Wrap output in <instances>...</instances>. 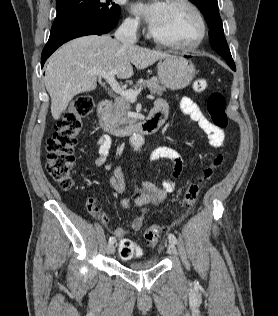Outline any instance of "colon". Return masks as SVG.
<instances>
[{
  "instance_id": "colon-1",
  "label": "colon",
  "mask_w": 278,
  "mask_h": 316,
  "mask_svg": "<svg viewBox=\"0 0 278 316\" xmlns=\"http://www.w3.org/2000/svg\"><path fill=\"white\" fill-rule=\"evenodd\" d=\"M207 88L204 79L196 80L193 84L195 92H203ZM94 102L90 96L83 95L73 100L64 111L57 123L54 134L47 140L46 169L55 182L63 190H70L73 186L72 173L75 164L74 149L77 137L82 130V119L92 114ZM207 111L211 122L219 129L225 130L228 126L226 114V100L223 93L215 91L207 99ZM223 162V155L217 154L211 162L201 171L195 181L187 187L182 204L189 210L195 204L201 186L211 178L215 169ZM91 212L96 210L93 201H88ZM161 228L157 225L148 227L144 232V238L150 246H155L160 238ZM121 257L128 259L140 256L142 250L131 240L123 239L119 243Z\"/></svg>"
}]
</instances>
